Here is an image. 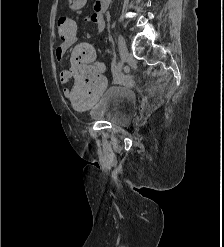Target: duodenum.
Returning a JSON list of instances; mask_svg holds the SVG:
<instances>
[{
	"mask_svg": "<svg viewBox=\"0 0 224 247\" xmlns=\"http://www.w3.org/2000/svg\"><path fill=\"white\" fill-rule=\"evenodd\" d=\"M110 2L111 0H98L96 5L97 10L100 12L105 11L108 8Z\"/></svg>",
	"mask_w": 224,
	"mask_h": 247,
	"instance_id": "410a0bca",
	"label": "duodenum"
}]
</instances>
